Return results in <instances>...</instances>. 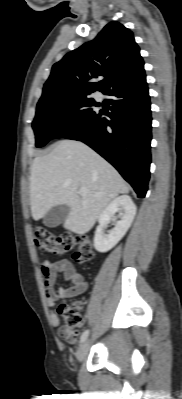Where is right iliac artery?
Instances as JSON below:
<instances>
[{
    "mask_svg": "<svg viewBox=\"0 0 182 399\" xmlns=\"http://www.w3.org/2000/svg\"><path fill=\"white\" fill-rule=\"evenodd\" d=\"M88 335H89V330L84 331L83 334L81 335L80 342L81 343L84 342L87 339Z\"/></svg>",
    "mask_w": 182,
    "mask_h": 399,
    "instance_id": "82829eb1",
    "label": "right iliac artery"
}]
</instances>
